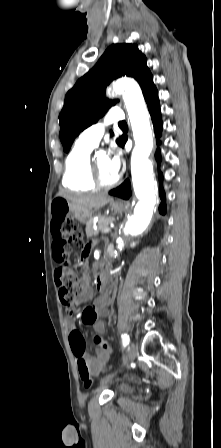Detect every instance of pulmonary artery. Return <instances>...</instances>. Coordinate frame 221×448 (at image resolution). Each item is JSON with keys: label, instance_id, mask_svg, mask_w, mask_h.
Returning a JSON list of instances; mask_svg holds the SVG:
<instances>
[{"label": "pulmonary artery", "instance_id": "pulmonary-artery-1", "mask_svg": "<svg viewBox=\"0 0 221 448\" xmlns=\"http://www.w3.org/2000/svg\"><path fill=\"white\" fill-rule=\"evenodd\" d=\"M124 121V114L120 109L112 108L107 115L99 122L92 124L83 130L78 142L91 147H96L105 133V128L111 123H120Z\"/></svg>", "mask_w": 221, "mask_h": 448}]
</instances>
